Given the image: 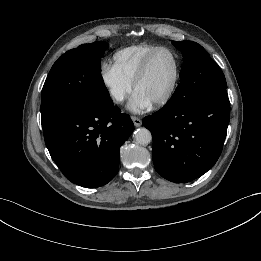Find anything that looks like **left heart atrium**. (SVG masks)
I'll return each mask as SVG.
<instances>
[{"mask_svg":"<svg viewBox=\"0 0 261 261\" xmlns=\"http://www.w3.org/2000/svg\"><path fill=\"white\" fill-rule=\"evenodd\" d=\"M152 102L146 98L143 94L138 91H135L130 102L128 103L127 108L135 113H140L150 108Z\"/></svg>","mask_w":261,"mask_h":261,"instance_id":"39dd6f15","label":"left heart atrium"}]
</instances>
